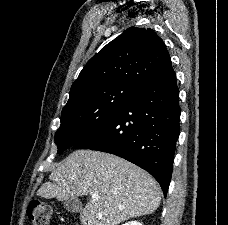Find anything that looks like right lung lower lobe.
Returning <instances> with one entry per match:
<instances>
[{
  "instance_id": "1",
  "label": "right lung lower lobe",
  "mask_w": 228,
  "mask_h": 225,
  "mask_svg": "<svg viewBox=\"0 0 228 225\" xmlns=\"http://www.w3.org/2000/svg\"><path fill=\"white\" fill-rule=\"evenodd\" d=\"M179 119V90L170 62L73 148L111 153L136 164L159 182L166 196Z\"/></svg>"
}]
</instances>
